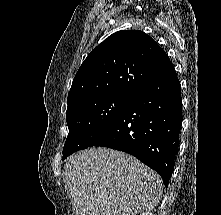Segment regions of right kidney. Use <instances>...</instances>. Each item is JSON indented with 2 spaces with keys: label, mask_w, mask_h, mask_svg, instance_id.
Returning a JSON list of instances; mask_svg holds the SVG:
<instances>
[{
  "label": "right kidney",
  "mask_w": 221,
  "mask_h": 215,
  "mask_svg": "<svg viewBox=\"0 0 221 215\" xmlns=\"http://www.w3.org/2000/svg\"><path fill=\"white\" fill-rule=\"evenodd\" d=\"M141 215H154V214L151 213V212H144V213H142Z\"/></svg>",
  "instance_id": "ca27d5eb"
}]
</instances>
